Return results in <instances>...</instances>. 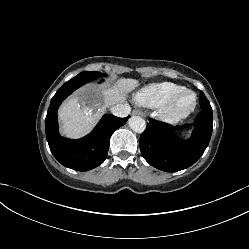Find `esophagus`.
Instances as JSON below:
<instances>
[{
    "mask_svg": "<svg viewBox=\"0 0 249 249\" xmlns=\"http://www.w3.org/2000/svg\"><path fill=\"white\" fill-rule=\"evenodd\" d=\"M134 115L144 116V113L141 110L135 109L132 112Z\"/></svg>",
    "mask_w": 249,
    "mask_h": 249,
    "instance_id": "34e87169",
    "label": "esophagus"
}]
</instances>
